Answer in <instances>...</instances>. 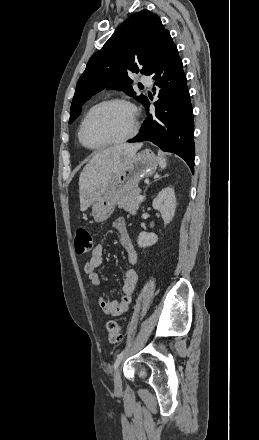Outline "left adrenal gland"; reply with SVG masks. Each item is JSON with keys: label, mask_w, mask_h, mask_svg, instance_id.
Listing matches in <instances>:
<instances>
[{"label": "left adrenal gland", "mask_w": 259, "mask_h": 440, "mask_svg": "<svg viewBox=\"0 0 259 440\" xmlns=\"http://www.w3.org/2000/svg\"><path fill=\"white\" fill-rule=\"evenodd\" d=\"M167 176H168V174L164 175L163 177H167ZM159 179H162V177L158 178L157 180H159ZM157 180H155V181H157Z\"/></svg>", "instance_id": "left-adrenal-gland-1"}]
</instances>
